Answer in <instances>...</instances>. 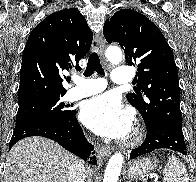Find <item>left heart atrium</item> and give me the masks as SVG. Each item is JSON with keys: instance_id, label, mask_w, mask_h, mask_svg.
Listing matches in <instances>:
<instances>
[{"instance_id": "39dd6f15", "label": "left heart atrium", "mask_w": 196, "mask_h": 182, "mask_svg": "<svg viewBox=\"0 0 196 182\" xmlns=\"http://www.w3.org/2000/svg\"><path fill=\"white\" fill-rule=\"evenodd\" d=\"M80 119L101 136L122 138L131 130L133 116L115 94L105 93L84 102Z\"/></svg>"}]
</instances>
